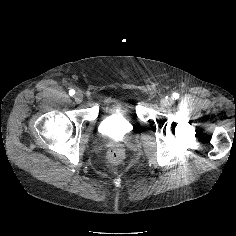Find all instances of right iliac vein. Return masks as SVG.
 Here are the masks:
<instances>
[{
	"label": "right iliac vein",
	"mask_w": 236,
	"mask_h": 236,
	"mask_svg": "<svg viewBox=\"0 0 236 236\" xmlns=\"http://www.w3.org/2000/svg\"><path fill=\"white\" fill-rule=\"evenodd\" d=\"M74 99L76 103H81L83 100V93L81 91H78L76 95L74 96Z\"/></svg>",
	"instance_id": "1"
}]
</instances>
